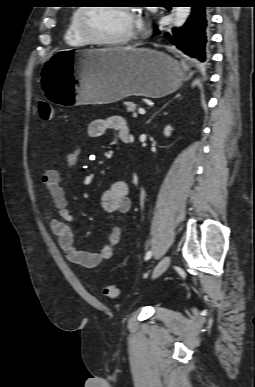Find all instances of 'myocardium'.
<instances>
[{"label":"myocardium","mask_w":255,"mask_h":387,"mask_svg":"<svg viewBox=\"0 0 255 387\" xmlns=\"http://www.w3.org/2000/svg\"><path fill=\"white\" fill-rule=\"evenodd\" d=\"M125 11H127L133 18H135V13L132 10V8L128 6H117ZM96 7L93 6H83L79 9L78 15H77V28L81 36L88 41L90 44L94 45H100V46H122L128 44L130 41H132L136 35L135 30L130 32L128 35H126L123 38L120 39H102L97 36H95L92 31L90 30L88 24H87V15L91 10H93Z\"/></svg>","instance_id":"myocardium-1"}]
</instances>
